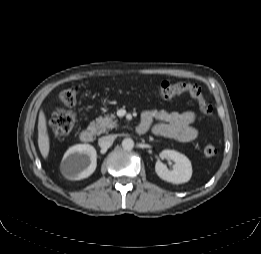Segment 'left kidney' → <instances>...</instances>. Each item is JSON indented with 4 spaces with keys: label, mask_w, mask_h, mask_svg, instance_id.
Segmentation results:
<instances>
[{
    "label": "left kidney",
    "mask_w": 261,
    "mask_h": 254,
    "mask_svg": "<svg viewBox=\"0 0 261 254\" xmlns=\"http://www.w3.org/2000/svg\"><path fill=\"white\" fill-rule=\"evenodd\" d=\"M161 158L174 161L173 169L169 170L161 161L155 165L156 174L167 182L181 184L188 182L192 176V165L190 160L183 154L175 150H164L160 154Z\"/></svg>",
    "instance_id": "left-kidney-1"
}]
</instances>
